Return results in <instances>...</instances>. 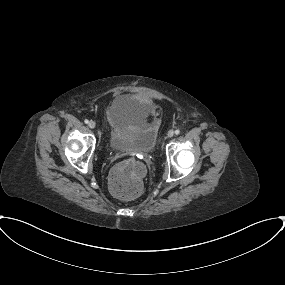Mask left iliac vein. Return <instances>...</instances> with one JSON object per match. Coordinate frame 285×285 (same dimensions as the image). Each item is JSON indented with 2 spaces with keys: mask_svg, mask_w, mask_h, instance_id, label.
Returning a JSON list of instances; mask_svg holds the SVG:
<instances>
[{
  "mask_svg": "<svg viewBox=\"0 0 285 285\" xmlns=\"http://www.w3.org/2000/svg\"><path fill=\"white\" fill-rule=\"evenodd\" d=\"M173 135H174V131H173V130H170V131L168 132V134H167V137H168V138H171V137H173Z\"/></svg>",
  "mask_w": 285,
  "mask_h": 285,
  "instance_id": "obj_1",
  "label": "left iliac vein"
}]
</instances>
